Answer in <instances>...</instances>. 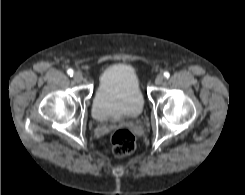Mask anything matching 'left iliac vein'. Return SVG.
<instances>
[{
	"label": "left iliac vein",
	"mask_w": 245,
	"mask_h": 195,
	"mask_svg": "<svg viewBox=\"0 0 245 195\" xmlns=\"http://www.w3.org/2000/svg\"><path fill=\"white\" fill-rule=\"evenodd\" d=\"M164 75L163 74H159L157 75L156 79H155V83L156 85H161L164 81Z\"/></svg>",
	"instance_id": "4c4485c4"
}]
</instances>
